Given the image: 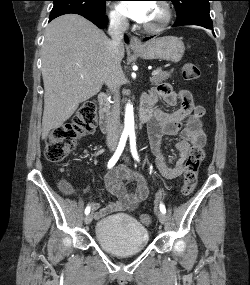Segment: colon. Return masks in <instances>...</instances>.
Instances as JSON below:
<instances>
[{
	"instance_id": "1",
	"label": "colon",
	"mask_w": 250,
	"mask_h": 285,
	"mask_svg": "<svg viewBox=\"0 0 250 285\" xmlns=\"http://www.w3.org/2000/svg\"><path fill=\"white\" fill-rule=\"evenodd\" d=\"M182 77L187 81L197 80L200 69L193 63H186L182 68ZM96 105L89 100L84 102L71 122L56 128L48 137L45 145V156L50 162H60L75 148L77 141L93 132L96 125ZM205 156L203 147L193 146L185 161V171L182 183V194L190 195L197 185L198 172ZM143 225H150L152 217L141 214L139 217Z\"/></svg>"
}]
</instances>
